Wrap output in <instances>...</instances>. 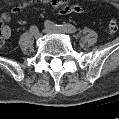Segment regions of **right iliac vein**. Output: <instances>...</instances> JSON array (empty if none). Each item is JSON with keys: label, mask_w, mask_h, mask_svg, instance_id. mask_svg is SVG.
Returning <instances> with one entry per match:
<instances>
[{"label": "right iliac vein", "mask_w": 119, "mask_h": 119, "mask_svg": "<svg viewBox=\"0 0 119 119\" xmlns=\"http://www.w3.org/2000/svg\"><path fill=\"white\" fill-rule=\"evenodd\" d=\"M41 37H42V34L39 31H37L36 33H34V38L35 39H40Z\"/></svg>", "instance_id": "63e3f726"}]
</instances>
